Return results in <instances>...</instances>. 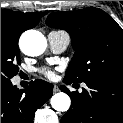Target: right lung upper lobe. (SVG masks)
<instances>
[{"instance_id":"1","label":"right lung upper lobe","mask_w":123,"mask_h":123,"mask_svg":"<svg viewBox=\"0 0 123 123\" xmlns=\"http://www.w3.org/2000/svg\"><path fill=\"white\" fill-rule=\"evenodd\" d=\"M46 14V12L22 13L8 9H2L1 20L11 21L21 35L25 30L35 27L39 23V19Z\"/></svg>"}]
</instances>
